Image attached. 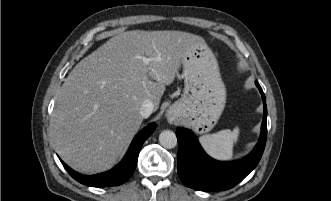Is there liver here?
<instances>
[{"instance_id":"obj_1","label":"liver","mask_w":331,"mask_h":201,"mask_svg":"<svg viewBox=\"0 0 331 201\" xmlns=\"http://www.w3.org/2000/svg\"><path fill=\"white\" fill-rule=\"evenodd\" d=\"M197 43L205 42L183 31L133 30L82 59L61 86L53 115V140L64 162L84 174L109 169L141 126L142 103L158 109L165 86Z\"/></svg>"}]
</instances>
